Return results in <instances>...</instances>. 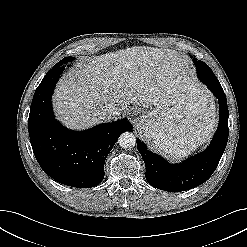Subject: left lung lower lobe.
<instances>
[{
  "label": "left lung lower lobe",
  "mask_w": 247,
  "mask_h": 247,
  "mask_svg": "<svg viewBox=\"0 0 247 247\" xmlns=\"http://www.w3.org/2000/svg\"><path fill=\"white\" fill-rule=\"evenodd\" d=\"M198 78L219 100L220 120L209 147L202 153L180 163L169 164L162 157L150 152L146 144L137 139V148L146 165L145 177L155 188L181 192L204 183L216 169L228 140V107L220 82L203 61L194 60Z\"/></svg>",
  "instance_id": "1"
}]
</instances>
